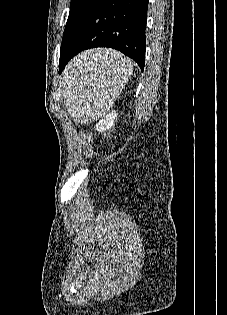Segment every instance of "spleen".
Wrapping results in <instances>:
<instances>
[{"label":"spleen","instance_id":"1","mask_svg":"<svg viewBox=\"0 0 227 315\" xmlns=\"http://www.w3.org/2000/svg\"><path fill=\"white\" fill-rule=\"evenodd\" d=\"M133 71L117 51L91 50L74 59L62 78L61 93L75 121L94 122L112 107Z\"/></svg>","mask_w":227,"mask_h":315}]
</instances>
